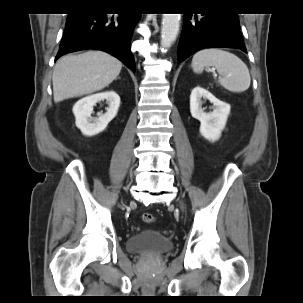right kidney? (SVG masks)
<instances>
[{
    "mask_svg": "<svg viewBox=\"0 0 303 303\" xmlns=\"http://www.w3.org/2000/svg\"><path fill=\"white\" fill-rule=\"evenodd\" d=\"M106 100L109 104L105 114L98 113V117L91 116L93 106L96 103ZM120 106V97L114 91L97 93L84 97L73 106L76 126L85 136L99 134L107 127L108 123L117 115Z\"/></svg>",
    "mask_w": 303,
    "mask_h": 303,
    "instance_id": "obj_1",
    "label": "right kidney"
}]
</instances>
